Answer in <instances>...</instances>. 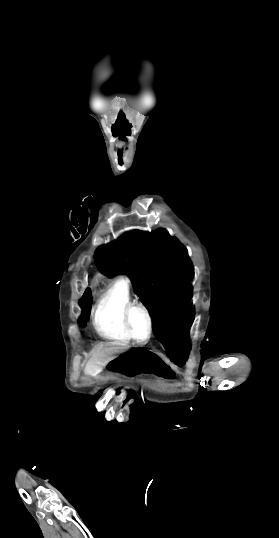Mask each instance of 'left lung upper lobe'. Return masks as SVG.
Wrapping results in <instances>:
<instances>
[{"label":"left lung upper lobe","instance_id":"1","mask_svg":"<svg viewBox=\"0 0 279 538\" xmlns=\"http://www.w3.org/2000/svg\"><path fill=\"white\" fill-rule=\"evenodd\" d=\"M187 249L164 229L133 230L100 246L94 255L98 269L107 276L124 273L154 320V333L188 334L194 320L193 266Z\"/></svg>","mask_w":279,"mask_h":538}]
</instances>
